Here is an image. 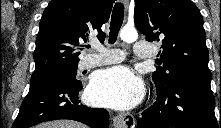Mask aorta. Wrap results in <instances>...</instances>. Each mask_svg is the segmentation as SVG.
Listing matches in <instances>:
<instances>
[{"mask_svg": "<svg viewBox=\"0 0 221 128\" xmlns=\"http://www.w3.org/2000/svg\"><path fill=\"white\" fill-rule=\"evenodd\" d=\"M120 38L127 43H132L137 40L138 33L135 28L124 27L120 30Z\"/></svg>", "mask_w": 221, "mask_h": 128, "instance_id": "aorta-1", "label": "aorta"}]
</instances>
